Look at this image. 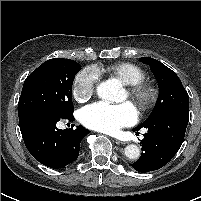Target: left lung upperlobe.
Listing matches in <instances>:
<instances>
[{
	"instance_id": "left-lung-upper-lobe-1",
	"label": "left lung upper lobe",
	"mask_w": 201,
	"mask_h": 201,
	"mask_svg": "<svg viewBox=\"0 0 201 201\" xmlns=\"http://www.w3.org/2000/svg\"><path fill=\"white\" fill-rule=\"evenodd\" d=\"M139 60L150 66L158 82L159 96L150 116L135 129L169 112H189V96L175 72L151 57H141Z\"/></svg>"
}]
</instances>
